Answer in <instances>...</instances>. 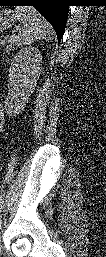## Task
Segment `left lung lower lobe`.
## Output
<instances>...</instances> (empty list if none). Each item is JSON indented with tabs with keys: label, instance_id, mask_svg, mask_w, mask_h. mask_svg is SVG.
I'll return each instance as SVG.
<instances>
[{
	"label": "left lung lower lobe",
	"instance_id": "0a47b994",
	"mask_svg": "<svg viewBox=\"0 0 106 257\" xmlns=\"http://www.w3.org/2000/svg\"><path fill=\"white\" fill-rule=\"evenodd\" d=\"M70 0H0L1 6H34L56 31L60 43L64 34Z\"/></svg>",
	"mask_w": 106,
	"mask_h": 257
}]
</instances>
